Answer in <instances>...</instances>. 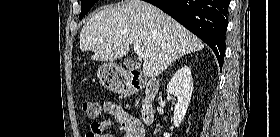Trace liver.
Returning <instances> with one entry per match:
<instances>
[{
    "label": "liver",
    "mask_w": 280,
    "mask_h": 137,
    "mask_svg": "<svg viewBox=\"0 0 280 137\" xmlns=\"http://www.w3.org/2000/svg\"><path fill=\"white\" fill-rule=\"evenodd\" d=\"M140 45L143 74L156 77L180 56L204 48L202 41L172 17L141 0H127L95 13L80 33V49L92 51L93 60L114 61L130 45Z\"/></svg>",
    "instance_id": "6515ba94"
}]
</instances>
